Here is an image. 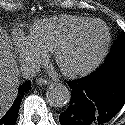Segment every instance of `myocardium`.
<instances>
[{
    "mask_svg": "<svg viewBox=\"0 0 125 125\" xmlns=\"http://www.w3.org/2000/svg\"><path fill=\"white\" fill-rule=\"evenodd\" d=\"M93 25H100L104 31V41L102 47L95 58H93L88 63L75 68V69H67L63 66L61 62L63 52L77 39V37L87 28ZM111 43V33L108 26L101 20L98 19H90L83 23L82 25L73 29L67 36H65L59 43L55 46L53 51V57L56 65L60 69L61 73L68 78H78L81 76H85L95 69H97L101 63L104 61L105 57L108 54Z\"/></svg>",
    "mask_w": 125,
    "mask_h": 125,
    "instance_id": "obj_1",
    "label": "myocardium"
}]
</instances>
